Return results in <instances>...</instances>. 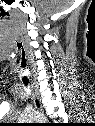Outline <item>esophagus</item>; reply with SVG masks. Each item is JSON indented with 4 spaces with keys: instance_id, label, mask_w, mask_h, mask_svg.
Masks as SVG:
<instances>
[{
    "instance_id": "1",
    "label": "esophagus",
    "mask_w": 95,
    "mask_h": 126,
    "mask_svg": "<svg viewBox=\"0 0 95 126\" xmlns=\"http://www.w3.org/2000/svg\"><path fill=\"white\" fill-rule=\"evenodd\" d=\"M33 103L38 110H42L40 98L36 93L33 95Z\"/></svg>"
}]
</instances>
